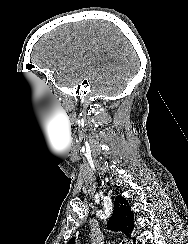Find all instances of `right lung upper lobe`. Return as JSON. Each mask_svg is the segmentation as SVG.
<instances>
[{
	"instance_id": "right-lung-upper-lobe-1",
	"label": "right lung upper lobe",
	"mask_w": 188,
	"mask_h": 244,
	"mask_svg": "<svg viewBox=\"0 0 188 244\" xmlns=\"http://www.w3.org/2000/svg\"><path fill=\"white\" fill-rule=\"evenodd\" d=\"M134 228V216L130 209L128 201L122 196L118 195L115 199L114 212L108 221V229L113 231H122L129 238ZM134 240H136L134 238ZM133 240V241H134ZM67 244H74L72 238Z\"/></svg>"
}]
</instances>
